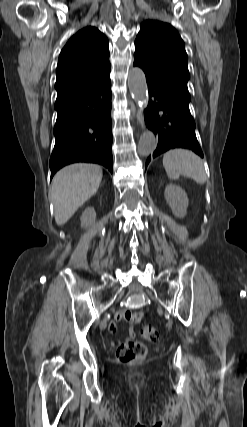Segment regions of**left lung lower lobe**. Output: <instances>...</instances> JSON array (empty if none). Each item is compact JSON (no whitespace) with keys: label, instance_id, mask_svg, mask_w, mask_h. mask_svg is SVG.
<instances>
[{"label":"left lung lower lobe","instance_id":"obj_1","mask_svg":"<svg viewBox=\"0 0 247 427\" xmlns=\"http://www.w3.org/2000/svg\"><path fill=\"white\" fill-rule=\"evenodd\" d=\"M149 91V105L145 112L146 125L158 135V145L151 158L173 148L194 151L203 158L202 150L195 135V122L189 110V102L178 97L160 84L146 79Z\"/></svg>","mask_w":247,"mask_h":427}]
</instances>
